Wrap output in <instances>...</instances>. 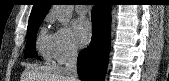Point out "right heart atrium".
<instances>
[{"mask_svg":"<svg viewBox=\"0 0 169 81\" xmlns=\"http://www.w3.org/2000/svg\"><path fill=\"white\" fill-rule=\"evenodd\" d=\"M49 21H52L49 18ZM52 57L59 63L65 62L77 54L78 46L71 31L66 27H57L50 36Z\"/></svg>","mask_w":169,"mask_h":81,"instance_id":"d8ad5b80","label":"right heart atrium"}]
</instances>
